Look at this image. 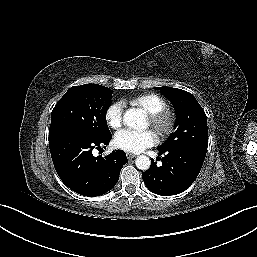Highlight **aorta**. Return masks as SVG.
<instances>
[{
  "label": "aorta",
  "mask_w": 257,
  "mask_h": 257,
  "mask_svg": "<svg viewBox=\"0 0 257 257\" xmlns=\"http://www.w3.org/2000/svg\"><path fill=\"white\" fill-rule=\"evenodd\" d=\"M124 122L127 126L137 129L144 130L147 126L144 114L136 109H129L124 114ZM136 167L140 170H148L151 165V160L145 155H140L135 159Z\"/></svg>",
  "instance_id": "1"
}]
</instances>
